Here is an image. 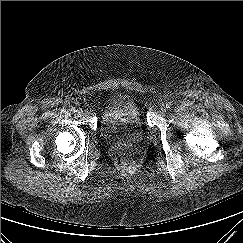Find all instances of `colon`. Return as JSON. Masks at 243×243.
Segmentation results:
<instances>
[{
  "label": "colon",
  "mask_w": 243,
  "mask_h": 243,
  "mask_svg": "<svg viewBox=\"0 0 243 243\" xmlns=\"http://www.w3.org/2000/svg\"><path fill=\"white\" fill-rule=\"evenodd\" d=\"M121 167L125 172H133L137 166L134 160L125 158L121 161Z\"/></svg>",
  "instance_id": "colon-1"
}]
</instances>
